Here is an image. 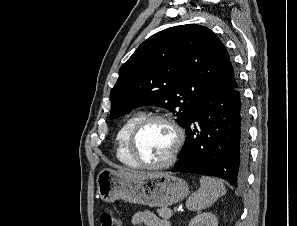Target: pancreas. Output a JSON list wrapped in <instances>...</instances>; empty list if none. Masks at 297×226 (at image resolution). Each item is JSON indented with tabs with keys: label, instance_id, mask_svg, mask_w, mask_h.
Returning <instances> with one entry per match:
<instances>
[{
	"label": "pancreas",
	"instance_id": "obj_1",
	"mask_svg": "<svg viewBox=\"0 0 297 226\" xmlns=\"http://www.w3.org/2000/svg\"><path fill=\"white\" fill-rule=\"evenodd\" d=\"M157 213L161 218H163L165 220L170 219L171 216L173 215V211L167 207H162L160 209H157Z\"/></svg>",
	"mask_w": 297,
	"mask_h": 226
}]
</instances>
